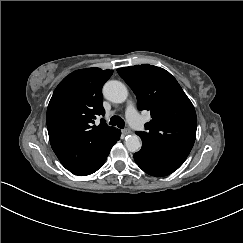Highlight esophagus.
I'll return each instance as SVG.
<instances>
[{"instance_id": "34e87169", "label": "esophagus", "mask_w": 243, "mask_h": 243, "mask_svg": "<svg viewBox=\"0 0 243 243\" xmlns=\"http://www.w3.org/2000/svg\"><path fill=\"white\" fill-rule=\"evenodd\" d=\"M121 133H122V136H126V135H128V134H131L132 131H131L130 129H123V130L121 131Z\"/></svg>"}]
</instances>
